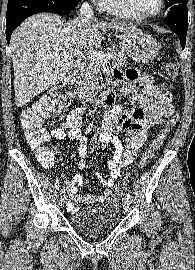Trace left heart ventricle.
Instances as JSON below:
<instances>
[{"mask_svg":"<svg viewBox=\"0 0 195 270\" xmlns=\"http://www.w3.org/2000/svg\"><path fill=\"white\" fill-rule=\"evenodd\" d=\"M134 8L141 14H152L159 7V0H131Z\"/></svg>","mask_w":195,"mask_h":270,"instance_id":"b2bd125f","label":"left heart ventricle"}]
</instances>
